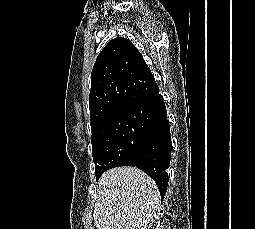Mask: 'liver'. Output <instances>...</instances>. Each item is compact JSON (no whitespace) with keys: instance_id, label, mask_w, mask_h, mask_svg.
Returning a JSON list of instances; mask_svg holds the SVG:
<instances>
[{"instance_id":"obj_1","label":"liver","mask_w":255,"mask_h":229,"mask_svg":"<svg viewBox=\"0 0 255 229\" xmlns=\"http://www.w3.org/2000/svg\"><path fill=\"white\" fill-rule=\"evenodd\" d=\"M159 207L155 182L135 167H117L99 179L94 224L97 229H147Z\"/></svg>"}]
</instances>
